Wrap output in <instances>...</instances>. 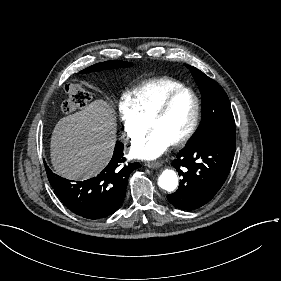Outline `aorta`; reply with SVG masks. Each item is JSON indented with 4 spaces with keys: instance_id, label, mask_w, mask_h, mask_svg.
<instances>
[{
    "instance_id": "obj_1",
    "label": "aorta",
    "mask_w": 281,
    "mask_h": 281,
    "mask_svg": "<svg viewBox=\"0 0 281 281\" xmlns=\"http://www.w3.org/2000/svg\"><path fill=\"white\" fill-rule=\"evenodd\" d=\"M158 185L168 191H174L178 186V177L174 170L165 169L158 178Z\"/></svg>"
}]
</instances>
